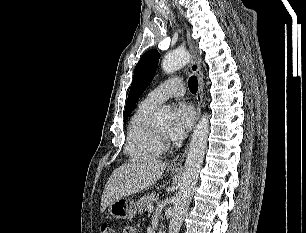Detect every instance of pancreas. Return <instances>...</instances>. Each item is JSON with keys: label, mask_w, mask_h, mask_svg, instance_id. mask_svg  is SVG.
<instances>
[{"label": "pancreas", "mask_w": 306, "mask_h": 233, "mask_svg": "<svg viewBox=\"0 0 306 233\" xmlns=\"http://www.w3.org/2000/svg\"><path fill=\"white\" fill-rule=\"evenodd\" d=\"M155 197H156V194L155 193H151V194L145 195L142 198H140L137 201V209H138V211L140 213H142L143 210H147V207L149 205H152V203L154 202Z\"/></svg>", "instance_id": "pancreas-1"}]
</instances>
